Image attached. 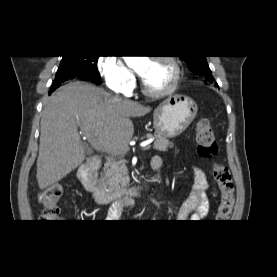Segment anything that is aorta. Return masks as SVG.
Wrapping results in <instances>:
<instances>
[{
    "label": "aorta",
    "mask_w": 277,
    "mask_h": 277,
    "mask_svg": "<svg viewBox=\"0 0 277 277\" xmlns=\"http://www.w3.org/2000/svg\"><path fill=\"white\" fill-rule=\"evenodd\" d=\"M125 61L128 66H136L140 61V56H125Z\"/></svg>",
    "instance_id": "1"
}]
</instances>
